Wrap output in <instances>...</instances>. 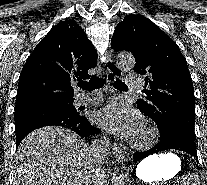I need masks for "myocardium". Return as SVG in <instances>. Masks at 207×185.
I'll use <instances>...</instances> for the list:
<instances>
[{
	"label": "myocardium",
	"mask_w": 207,
	"mask_h": 185,
	"mask_svg": "<svg viewBox=\"0 0 207 185\" xmlns=\"http://www.w3.org/2000/svg\"><path fill=\"white\" fill-rule=\"evenodd\" d=\"M159 136V130L150 124H145L142 129V136L141 137H134L130 144L133 149L139 150L142 148L143 143L149 139L155 138Z\"/></svg>",
	"instance_id": "myocardium-1"
}]
</instances>
